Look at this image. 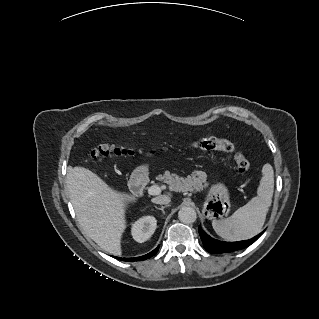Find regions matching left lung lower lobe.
<instances>
[{"mask_svg":"<svg viewBox=\"0 0 319 319\" xmlns=\"http://www.w3.org/2000/svg\"><path fill=\"white\" fill-rule=\"evenodd\" d=\"M262 233L246 241L227 243L211 238L199 226V235L201 237L204 248L209 253H227L246 248L250 246L253 242H255L262 235Z\"/></svg>","mask_w":319,"mask_h":319,"instance_id":"obj_1","label":"left lung lower lobe"}]
</instances>
